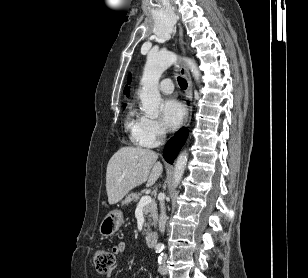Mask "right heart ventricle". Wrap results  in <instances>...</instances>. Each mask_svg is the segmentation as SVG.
Segmentation results:
<instances>
[{"label": "right heart ventricle", "mask_w": 308, "mask_h": 278, "mask_svg": "<svg viewBox=\"0 0 308 278\" xmlns=\"http://www.w3.org/2000/svg\"><path fill=\"white\" fill-rule=\"evenodd\" d=\"M145 117L141 115L135 107H131L125 120V127L132 142L142 145V131Z\"/></svg>", "instance_id": "e07e8e85"}]
</instances>
